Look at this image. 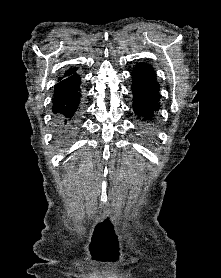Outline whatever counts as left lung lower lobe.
Instances as JSON below:
<instances>
[{
	"label": "left lung lower lobe",
	"mask_w": 221,
	"mask_h": 278,
	"mask_svg": "<svg viewBox=\"0 0 221 278\" xmlns=\"http://www.w3.org/2000/svg\"><path fill=\"white\" fill-rule=\"evenodd\" d=\"M133 110L143 125H153L160 109L159 83L152 66L138 63L132 71Z\"/></svg>",
	"instance_id": "0a47b994"
}]
</instances>
